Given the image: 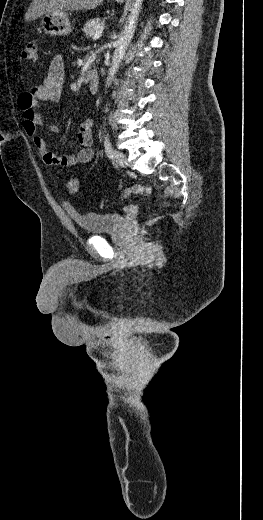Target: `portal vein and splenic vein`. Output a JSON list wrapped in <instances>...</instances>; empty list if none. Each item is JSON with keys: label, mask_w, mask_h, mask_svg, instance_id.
Segmentation results:
<instances>
[{"label": "portal vein and splenic vein", "mask_w": 263, "mask_h": 520, "mask_svg": "<svg viewBox=\"0 0 263 520\" xmlns=\"http://www.w3.org/2000/svg\"><path fill=\"white\" fill-rule=\"evenodd\" d=\"M101 35H102V31H101V30H98V31H96L95 34L92 36V39H93V40H96V39L100 38Z\"/></svg>", "instance_id": "obj_1"}]
</instances>
